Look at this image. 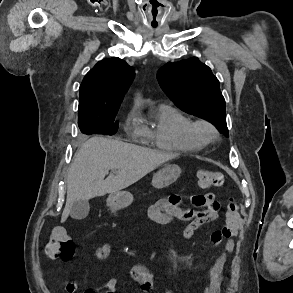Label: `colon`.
I'll list each match as a JSON object with an SVG mask.
<instances>
[{"label":"colon","mask_w":293,"mask_h":293,"mask_svg":"<svg viewBox=\"0 0 293 293\" xmlns=\"http://www.w3.org/2000/svg\"><path fill=\"white\" fill-rule=\"evenodd\" d=\"M200 188H217L224 185V176L221 172L212 170H200L197 174ZM239 225V212L236 200L231 199L226 210V221L222 234L226 237L237 234ZM46 255L51 259L63 261L71 260L75 254V245L71 236L62 228H55L51 238L45 247Z\"/></svg>","instance_id":"1"}]
</instances>
